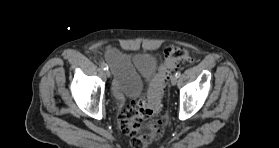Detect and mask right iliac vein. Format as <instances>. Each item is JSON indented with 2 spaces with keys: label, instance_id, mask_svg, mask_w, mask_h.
<instances>
[{
  "label": "right iliac vein",
  "instance_id": "1",
  "mask_svg": "<svg viewBox=\"0 0 279 148\" xmlns=\"http://www.w3.org/2000/svg\"><path fill=\"white\" fill-rule=\"evenodd\" d=\"M105 75H106V77H108V78H109V77L111 76V72H110V70H106V71H105Z\"/></svg>",
  "mask_w": 279,
  "mask_h": 148
}]
</instances>
